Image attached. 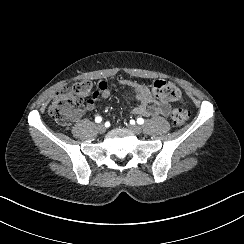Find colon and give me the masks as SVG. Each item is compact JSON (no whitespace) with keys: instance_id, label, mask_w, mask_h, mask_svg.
Instances as JSON below:
<instances>
[{"instance_id":"5ec220e1","label":"colon","mask_w":244,"mask_h":244,"mask_svg":"<svg viewBox=\"0 0 244 244\" xmlns=\"http://www.w3.org/2000/svg\"><path fill=\"white\" fill-rule=\"evenodd\" d=\"M149 89L157 97L168 101H179L183 93L178 86L169 81L155 80L149 84ZM98 95L96 84L90 80H81L65 86L56 95L48 109L49 116L57 122L72 117L84 103L92 101ZM188 112L183 108H174L171 112L172 121L181 125L186 122Z\"/></svg>"}]
</instances>
